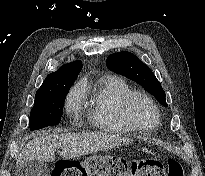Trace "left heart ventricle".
Returning <instances> with one entry per match:
<instances>
[{"instance_id":"obj_1","label":"left heart ventricle","mask_w":205,"mask_h":176,"mask_svg":"<svg viewBox=\"0 0 205 176\" xmlns=\"http://www.w3.org/2000/svg\"><path fill=\"white\" fill-rule=\"evenodd\" d=\"M133 117L143 126H152L157 120V116L152 107L141 99L137 100L133 106Z\"/></svg>"}]
</instances>
